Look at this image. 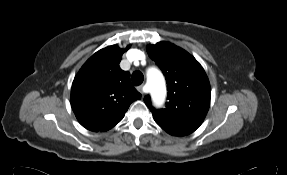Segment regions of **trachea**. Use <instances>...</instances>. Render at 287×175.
I'll return each mask as SVG.
<instances>
[{"label":"trachea","instance_id":"3493384b","mask_svg":"<svg viewBox=\"0 0 287 175\" xmlns=\"http://www.w3.org/2000/svg\"><path fill=\"white\" fill-rule=\"evenodd\" d=\"M132 83L135 85V86H139L140 84H142L143 80H144V76L143 74L140 72V71H135L133 74H132Z\"/></svg>","mask_w":287,"mask_h":175}]
</instances>
